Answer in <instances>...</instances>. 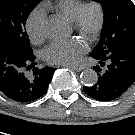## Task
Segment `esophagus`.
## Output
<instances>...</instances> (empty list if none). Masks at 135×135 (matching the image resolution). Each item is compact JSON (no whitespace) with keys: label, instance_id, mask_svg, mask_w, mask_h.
Wrapping results in <instances>:
<instances>
[{"label":"esophagus","instance_id":"obj_1","mask_svg":"<svg viewBox=\"0 0 135 135\" xmlns=\"http://www.w3.org/2000/svg\"><path fill=\"white\" fill-rule=\"evenodd\" d=\"M63 66L70 68V69L77 71V72L82 71L84 69L83 67H75V66H68V65H63Z\"/></svg>","mask_w":135,"mask_h":135}]
</instances>
